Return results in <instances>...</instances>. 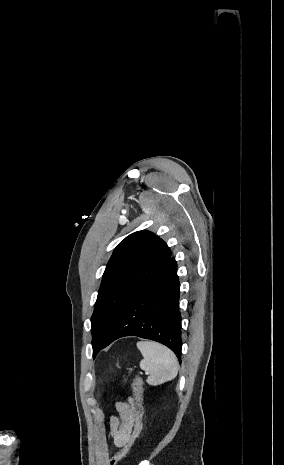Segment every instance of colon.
Returning a JSON list of instances; mask_svg holds the SVG:
<instances>
[{"label":"colon","mask_w":284,"mask_h":465,"mask_svg":"<svg viewBox=\"0 0 284 465\" xmlns=\"http://www.w3.org/2000/svg\"><path fill=\"white\" fill-rule=\"evenodd\" d=\"M133 395H134V403L137 410V418L135 420V427L133 435L122 445V449L119 450V453H116V457H114V462H109L108 465H122L119 462H123V459L132 457L133 448L135 443L138 441L137 435L141 430L142 424V417H143V405H142V398H143V387H142V380L140 377H135L132 383ZM126 460V459H125ZM128 460V459H127Z\"/></svg>","instance_id":"5ec220e1"}]
</instances>
